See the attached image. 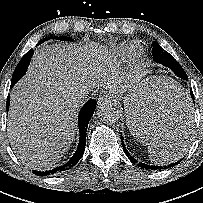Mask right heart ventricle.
Wrapping results in <instances>:
<instances>
[{"label": "right heart ventricle", "instance_id": "obj_1", "mask_svg": "<svg viewBox=\"0 0 203 203\" xmlns=\"http://www.w3.org/2000/svg\"><path fill=\"white\" fill-rule=\"evenodd\" d=\"M132 50V45H121L116 49V54L120 58H125L127 55L130 54Z\"/></svg>", "mask_w": 203, "mask_h": 203}]
</instances>
